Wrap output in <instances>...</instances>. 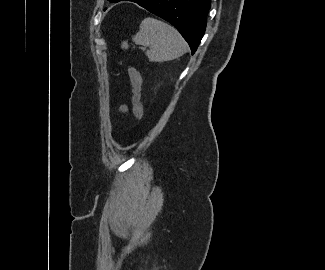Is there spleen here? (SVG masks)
I'll list each match as a JSON object with an SVG mask.
<instances>
[{"label": "spleen", "mask_w": 325, "mask_h": 270, "mask_svg": "<svg viewBox=\"0 0 325 270\" xmlns=\"http://www.w3.org/2000/svg\"><path fill=\"white\" fill-rule=\"evenodd\" d=\"M133 42L150 48L147 57L151 62L170 61L187 51L186 42L174 27L151 17L141 22ZM121 47L127 49L128 42L123 41Z\"/></svg>", "instance_id": "spleen-1"}]
</instances>
